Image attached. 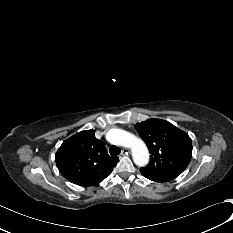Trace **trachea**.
I'll return each mask as SVG.
<instances>
[{
    "label": "trachea",
    "instance_id": "trachea-1",
    "mask_svg": "<svg viewBox=\"0 0 233 233\" xmlns=\"http://www.w3.org/2000/svg\"><path fill=\"white\" fill-rule=\"evenodd\" d=\"M109 152L111 156H117L118 154H120L121 149L117 146L112 145L109 149Z\"/></svg>",
    "mask_w": 233,
    "mask_h": 233
}]
</instances>
